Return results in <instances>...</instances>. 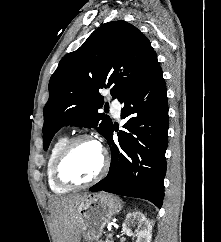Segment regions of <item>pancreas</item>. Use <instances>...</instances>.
Instances as JSON below:
<instances>
[{"label": "pancreas", "instance_id": "cf45deb5", "mask_svg": "<svg viewBox=\"0 0 221 242\" xmlns=\"http://www.w3.org/2000/svg\"><path fill=\"white\" fill-rule=\"evenodd\" d=\"M109 236L107 237L106 241L99 240L97 242H113L112 240H108Z\"/></svg>", "mask_w": 221, "mask_h": 242}]
</instances>
